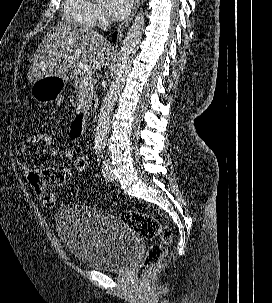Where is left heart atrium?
<instances>
[{"mask_svg":"<svg viewBox=\"0 0 272 303\" xmlns=\"http://www.w3.org/2000/svg\"><path fill=\"white\" fill-rule=\"evenodd\" d=\"M105 7L112 19L126 18L132 8V0H105Z\"/></svg>","mask_w":272,"mask_h":303,"instance_id":"left-heart-atrium-1","label":"left heart atrium"}]
</instances>
